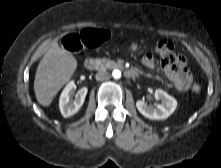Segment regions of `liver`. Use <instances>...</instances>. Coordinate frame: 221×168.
<instances>
[{
	"mask_svg": "<svg viewBox=\"0 0 221 168\" xmlns=\"http://www.w3.org/2000/svg\"><path fill=\"white\" fill-rule=\"evenodd\" d=\"M77 60L54 42L42 57L36 71L34 92L42 106H49L59 90L71 79Z\"/></svg>",
	"mask_w": 221,
	"mask_h": 168,
	"instance_id": "1",
	"label": "liver"
}]
</instances>
